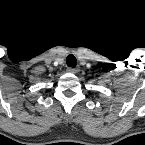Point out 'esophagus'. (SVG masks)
<instances>
[{"mask_svg": "<svg viewBox=\"0 0 145 145\" xmlns=\"http://www.w3.org/2000/svg\"><path fill=\"white\" fill-rule=\"evenodd\" d=\"M67 71H68L69 73H71V74H76V73L79 71V69L69 67V68L67 69Z\"/></svg>", "mask_w": 145, "mask_h": 145, "instance_id": "1", "label": "esophagus"}]
</instances>
